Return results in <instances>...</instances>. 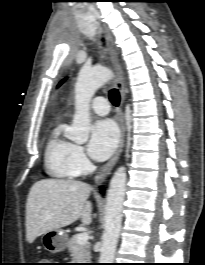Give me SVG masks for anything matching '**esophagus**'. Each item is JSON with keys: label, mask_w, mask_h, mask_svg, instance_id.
Instances as JSON below:
<instances>
[{"label": "esophagus", "mask_w": 205, "mask_h": 265, "mask_svg": "<svg viewBox=\"0 0 205 265\" xmlns=\"http://www.w3.org/2000/svg\"><path fill=\"white\" fill-rule=\"evenodd\" d=\"M107 49L110 55V59L116 71V87L120 93V104L117 110V121L120 128V142L117 150L115 151L113 157L102 167L100 172L96 175L95 181L97 184H101L105 182L106 178L110 174L111 170L115 166L119 156L123 150L124 142H125V123H124V112L123 106L125 101V88H124V73L121 66V63L117 56V51L114 44V38L107 27H104Z\"/></svg>", "instance_id": "esophagus-1"}]
</instances>
